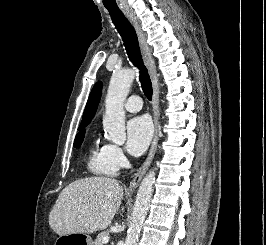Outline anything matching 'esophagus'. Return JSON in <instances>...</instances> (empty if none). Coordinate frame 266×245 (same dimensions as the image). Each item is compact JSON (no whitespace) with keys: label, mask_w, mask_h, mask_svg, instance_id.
<instances>
[{"label":"esophagus","mask_w":266,"mask_h":245,"mask_svg":"<svg viewBox=\"0 0 266 245\" xmlns=\"http://www.w3.org/2000/svg\"><path fill=\"white\" fill-rule=\"evenodd\" d=\"M126 17L129 19L133 27L135 28V31L138 35L140 46L142 48V52L144 55V59L146 62V65L149 70V74L151 77L152 81V87H153V99H152V105H153V119H154V124H155V136L152 141L148 156L143 163L142 167L140 170L136 173L134 179L131 181L130 186H129V192H133L139 185L143 175L145 174L146 170L148 169L150 163L153 160L154 154H155V149L157 147V142H158V134H159V117H160V112H159V85H158V78H157V70H156V65L155 61L152 55L151 48L149 47L145 34L142 31L139 23L137 22L136 18H134L133 15H131L129 12L125 13Z\"/></svg>","instance_id":"esophagus-1"}]
</instances>
